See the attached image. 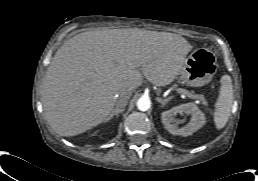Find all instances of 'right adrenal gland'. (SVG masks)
<instances>
[{
  "mask_svg": "<svg viewBox=\"0 0 258 181\" xmlns=\"http://www.w3.org/2000/svg\"><path fill=\"white\" fill-rule=\"evenodd\" d=\"M123 111H124V109H117V108L113 109V111L110 113V115L105 120V122L109 121L113 116H118Z\"/></svg>",
  "mask_w": 258,
  "mask_h": 181,
  "instance_id": "right-adrenal-gland-1",
  "label": "right adrenal gland"
}]
</instances>
